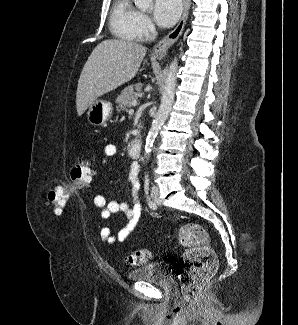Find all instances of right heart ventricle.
I'll return each mask as SVG.
<instances>
[{
	"label": "right heart ventricle",
	"instance_id": "obj_1",
	"mask_svg": "<svg viewBox=\"0 0 298 325\" xmlns=\"http://www.w3.org/2000/svg\"><path fill=\"white\" fill-rule=\"evenodd\" d=\"M140 12L130 0L117 1L110 13V31L112 37H121V41H131V30L138 26Z\"/></svg>",
	"mask_w": 298,
	"mask_h": 325
}]
</instances>
